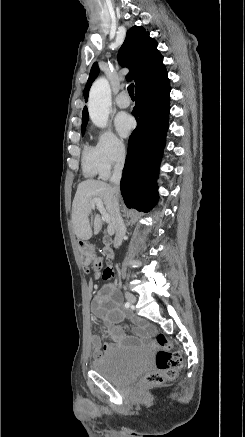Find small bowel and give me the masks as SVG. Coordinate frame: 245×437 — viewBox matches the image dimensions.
<instances>
[{"label":"small bowel","instance_id":"obj_1","mask_svg":"<svg viewBox=\"0 0 245 437\" xmlns=\"http://www.w3.org/2000/svg\"><path fill=\"white\" fill-rule=\"evenodd\" d=\"M91 312L94 318H98L105 324L112 343L103 344L98 334L91 335V348L95 357H100L103 352H107L121 345H130L135 342L133 338L126 335L124 329L119 325L127 316L118 305L117 290L112 285H105L94 297ZM132 319V317H130ZM137 331L141 335L150 332L149 327L137 321Z\"/></svg>","mask_w":245,"mask_h":437}]
</instances>
